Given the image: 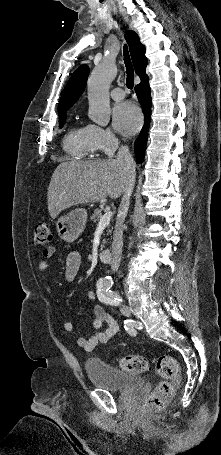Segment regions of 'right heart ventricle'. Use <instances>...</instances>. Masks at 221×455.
Wrapping results in <instances>:
<instances>
[{
	"instance_id": "obj_1",
	"label": "right heart ventricle",
	"mask_w": 221,
	"mask_h": 455,
	"mask_svg": "<svg viewBox=\"0 0 221 455\" xmlns=\"http://www.w3.org/2000/svg\"><path fill=\"white\" fill-rule=\"evenodd\" d=\"M65 152L77 159L92 157L94 149L91 144L88 126H73L63 140Z\"/></svg>"
}]
</instances>
